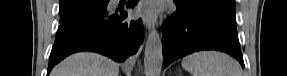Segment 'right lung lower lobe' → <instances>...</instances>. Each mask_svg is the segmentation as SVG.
Wrapping results in <instances>:
<instances>
[{
    "label": "right lung lower lobe",
    "mask_w": 287,
    "mask_h": 76,
    "mask_svg": "<svg viewBox=\"0 0 287 76\" xmlns=\"http://www.w3.org/2000/svg\"><path fill=\"white\" fill-rule=\"evenodd\" d=\"M109 0L95 11L62 23L50 54L47 74L66 56L79 51H94L117 62L135 54L144 39L142 20L128 21L127 13L108 12ZM137 0H129L133 7Z\"/></svg>",
    "instance_id": "obj_1"
}]
</instances>
